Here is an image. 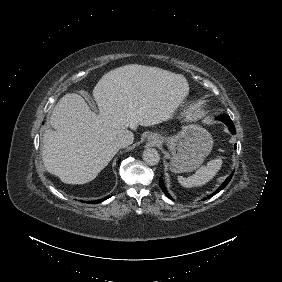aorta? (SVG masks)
I'll return each instance as SVG.
<instances>
[{
  "label": "aorta",
  "mask_w": 282,
  "mask_h": 282,
  "mask_svg": "<svg viewBox=\"0 0 282 282\" xmlns=\"http://www.w3.org/2000/svg\"><path fill=\"white\" fill-rule=\"evenodd\" d=\"M142 159L148 165H155L159 162L160 155L154 148H146L142 152Z\"/></svg>",
  "instance_id": "1"
}]
</instances>
